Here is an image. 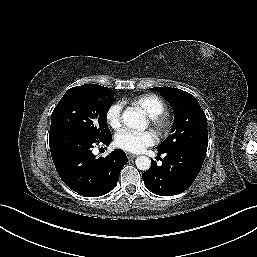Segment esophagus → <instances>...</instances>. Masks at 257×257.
Returning a JSON list of instances; mask_svg holds the SVG:
<instances>
[{
	"mask_svg": "<svg viewBox=\"0 0 257 257\" xmlns=\"http://www.w3.org/2000/svg\"><path fill=\"white\" fill-rule=\"evenodd\" d=\"M126 155H127V158H128V159H133V158L136 157V155H135V154H132V153H126Z\"/></svg>",
	"mask_w": 257,
	"mask_h": 257,
	"instance_id": "34e87169",
	"label": "esophagus"
}]
</instances>
